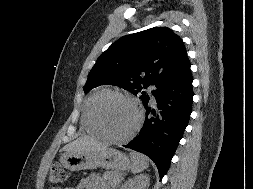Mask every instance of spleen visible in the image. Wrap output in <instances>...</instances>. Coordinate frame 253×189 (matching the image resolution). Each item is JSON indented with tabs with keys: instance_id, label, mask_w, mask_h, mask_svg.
Instances as JSON below:
<instances>
[{
	"instance_id": "1",
	"label": "spleen",
	"mask_w": 253,
	"mask_h": 189,
	"mask_svg": "<svg viewBox=\"0 0 253 189\" xmlns=\"http://www.w3.org/2000/svg\"><path fill=\"white\" fill-rule=\"evenodd\" d=\"M130 157L132 161V166H131L132 173H139L143 171L144 169L148 168L149 160L145 155L138 152H131Z\"/></svg>"
}]
</instances>
